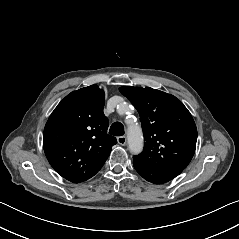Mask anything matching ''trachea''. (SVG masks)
I'll return each mask as SVG.
<instances>
[{"mask_svg": "<svg viewBox=\"0 0 239 239\" xmlns=\"http://www.w3.org/2000/svg\"><path fill=\"white\" fill-rule=\"evenodd\" d=\"M109 134L113 136H122L124 135V127L120 122H115L111 125L109 129Z\"/></svg>", "mask_w": 239, "mask_h": 239, "instance_id": "3493384b", "label": "trachea"}]
</instances>
